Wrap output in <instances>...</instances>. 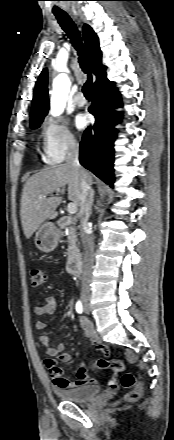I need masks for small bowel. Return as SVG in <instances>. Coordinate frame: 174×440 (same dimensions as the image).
<instances>
[{
  "mask_svg": "<svg viewBox=\"0 0 174 440\" xmlns=\"http://www.w3.org/2000/svg\"><path fill=\"white\" fill-rule=\"evenodd\" d=\"M57 309V303L54 297L49 296L45 299V302L38 305L35 308V313L38 316H49L52 315ZM80 326L84 331L85 336L89 339V341L98 349L102 350L107 354H110V350L101 345L95 331L93 325L90 320L82 317L80 319ZM36 330L39 332H43L46 329V323L42 320H38L35 324ZM39 341L42 345V348L47 356L50 358L46 360V366L50 372V376L54 385L61 388H76L79 386H84L87 384H94L98 382L96 377L88 376L85 372L83 366H80L77 370V379L74 381L68 380L64 371L61 367L57 365V362L54 358H59V360L63 363L72 362V356L68 353H65V345L63 343L58 344L56 347H52L49 344V339L45 335H41L39 337ZM116 380L115 378H113ZM109 386V385H108ZM110 387V386H109Z\"/></svg>",
  "mask_w": 174,
  "mask_h": 440,
  "instance_id": "c3829d8e",
  "label": "small bowel"
}]
</instances>
